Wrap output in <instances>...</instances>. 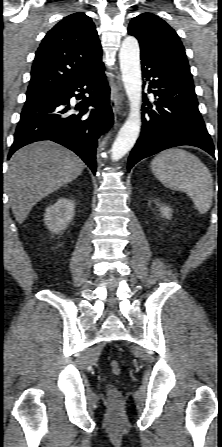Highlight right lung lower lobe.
<instances>
[{"label": "right lung lower lobe", "mask_w": 222, "mask_h": 447, "mask_svg": "<svg viewBox=\"0 0 222 447\" xmlns=\"http://www.w3.org/2000/svg\"><path fill=\"white\" fill-rule=\"evenodd\" d=\"M78 88L89 97H76L82 101L75 107L80 112L74 113L69 101L76 96L75 91H80ZM89 106L95 109L88 112ZM112 122L109 87L101 63L50 100L22 110L8 159L29 143L51 140L74 151L95 173L97 139Z\"/></svg>", "instance_id": "98d812e1"}]
</instances>
